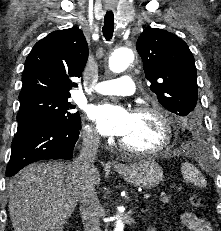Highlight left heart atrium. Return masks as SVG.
I'll list each match as a JSON object with an SVG mask.
<instances>
[{"instance_id": "left-heart-atrium-1", "label": "left heart atrium", "mask_w": 221, "mask_h": 231, "mask_svg": "<svg viewBox=\"0 0 221 231\" xmlns=\"http://www.w3.org/2000/svg\"><path fill=\"white\" fill-rule=\"evenodd\" d=\"M90 117L101 134L122 137L130 129L132 113L119 105L102 104L91 109Z\"/></svg>"}]
</instances>
